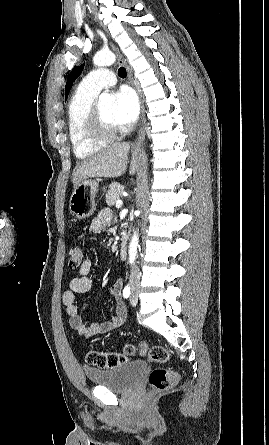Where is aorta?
<instances>
[{
  "mask_svg": "<svg viewBox=\"0 0 269 445\" xmlns=\"http://www.w3.org/2000/svg\"><path fill=\"white\" fill-rule=\"evenodd\" d=\"M116 60L115 55L110 51H100L96 53L93 58V63L96 66H109L112 65ZM114 102V97L108 93H102L99 96V106L100 107H108ZM139 236L138 233L135 232L132 236L130 245H129V262L132 264L135 261L137 254Z\"/></svg>",
  "mask_w": 269,
  "mask_h": 445,
  "instance_id": "obj_1",
  "label": "aorta"
}]
</instances>
